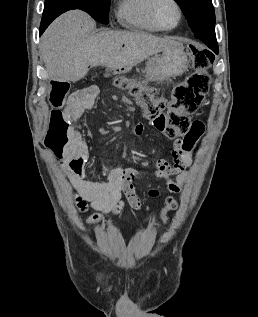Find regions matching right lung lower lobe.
<instances>
[{"label": "right lung lower lobe", "instance_id": "98d812e1", "mask_svg": "<svg viewBox=\"0 0 258 317\" xmlns=\"http://www.w3.org/2000/svg\"><path fill=\"white\" fill-rule=\"evenodd\" d=\"M72 9L83 10L94 17V10L89 6L88 0H45L40 35L56 17Z\"/></svg>", "mask_w": 258, "mask_h": 317}]
</instances>
